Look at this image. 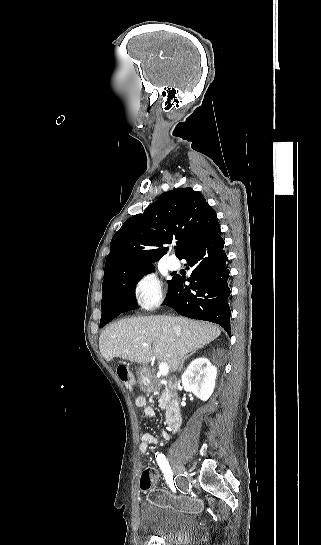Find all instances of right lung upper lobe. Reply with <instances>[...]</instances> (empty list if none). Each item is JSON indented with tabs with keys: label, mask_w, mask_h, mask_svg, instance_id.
<instances>
[{
	"label": "right lung upper lobe",
	"mask_w": 321,
	"mask_h": 545,
	"mask_svg": "<svg viewBox=\"0 0 321 545\" xmlns=\"http://www.w3.org/2000/svg\"><path fill=\"white\" fill-rule=\"evenodd\" d=\"M219 226L216 212L192 188H177L161 194L142 214L124 222L110 243L105 263L103 289L118 286L125 277L153 267L177 240L176 256L188 251ZM149 247H159L148 249Z\"/></svg>",
	"instance_id": "cb5924a9"
}]
</instances>
